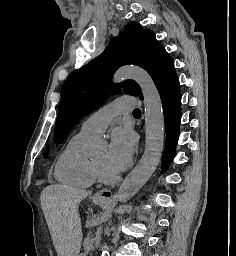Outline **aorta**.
I'll return each mask as SVG.
<instances>
[{"label": "aorta", "mask_w": 236, "mask_h": 256, "mask_svg": "<svg viewBox=\"0 0 236 256\" xmlns=\"http://www.w3.org/2000/svg\"><path fill=\"white\" fill-rule=\"evenodd\" d=\"M135 80L141 87L145 106V150L115 195L118 202H127L150 179L161 159L164 145V114L159 92L149 74L139 67L125 66L114 76L116 83ZM109 255V247H103L102 256Z\"/></svg>", "instance_id": "aorta-1"}]
</instances>
